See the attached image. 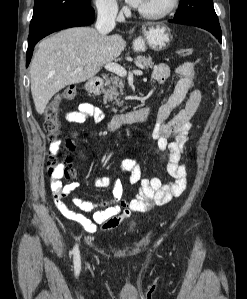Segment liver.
<instances>
[{"label":"liver","mask_w":247,"mask_h":299,"mask_svg":"<svg viewBox=\"0 0 247 299\" xmlns=\"http://www.w3.org/2000/svg\"><path fill=\"white\" fill-rule=\"evenodd\" d=\"M125 47L120 35L102 36L91 27L65 29L41 41L30 66L36 111L43 114L57 92L91 79Z\"/></svg>","instance_id":"liver-1"}]
</instances>
